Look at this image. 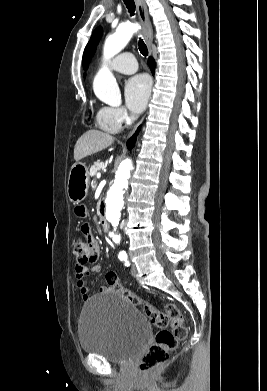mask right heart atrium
I'll return each instance as SVG.
<instances>
[{"label": "right heart atrium", "instance_id": "right-heart-atrium-1", "mask_svg": "<svg viewBox=\"0 0 267 391\" xmlns=\"http://www.w3.org/2000/svg\"><path fill=\"white\" fill-rule=\"evenodd\" d=\"M99 114L108 123L120 128L130 121L131 116L123 107L105 106L100 109Z\"/></svg>", "mask_w": 267, "mask_h": 391}]
</instances>
